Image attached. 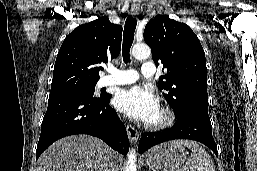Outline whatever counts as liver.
Masks as SVG:
<instances>
[{"instance_id":"1","label":"liver","mask_w":257,"mask_h":171,"mask_svg":"<svg viewBox=\"0 0 257 171\" xmlns=\"http://www.w3.org/2000/svg\"><path fill=\"white\" fill-rule=\"evenodd\" d=\"M113 154L98 138L67 136L42 153L37 162V171H105Z\"/></svg>"}]
</instances>
